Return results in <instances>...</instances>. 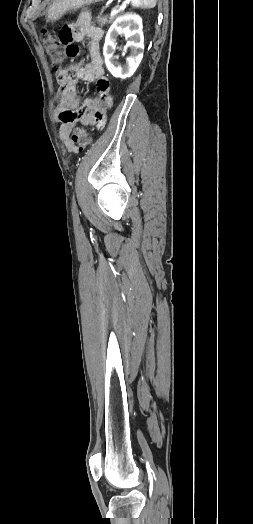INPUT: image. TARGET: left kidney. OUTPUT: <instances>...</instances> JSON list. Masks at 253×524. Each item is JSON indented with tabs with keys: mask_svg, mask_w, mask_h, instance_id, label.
Wrapping results in <instances>:
<instances>
[{
	"mask_svg": "<svg viewBox=\"0 0 253 524\" xmlns=\"http://www.w3.org/2000/svg\"><path fill=\"white\" fill-rule=\"evenodd\" d=\"M142 19L135 14H126L118 17L109 28L103 47L105 64L109 72L116 78H128L134 74L143 58L144 36ZM124 35L128 39L124 50L130 48V56L126 57L125 65L121 66L114 59L116 38Z\"/></svg>",
	"mask_w": 253,
	"mask_h": 524,
	"instance_id": "5707ae66",
	"label": "left kidney"
}]
</instances>
